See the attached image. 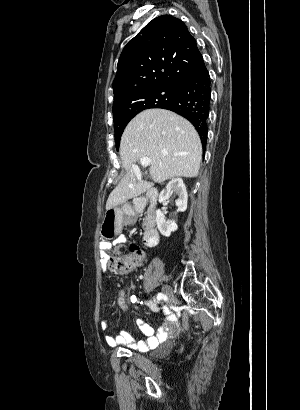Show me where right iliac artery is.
Wrapping results in <instances>:
<instances>
[{
	"instance_id": "right-iliac-artery-1",
	"label": "right iliac artery",
	"mask_w": 300,
	"mask_h": 410,
	"mask_svg": "<svg viewBox=\"0 0 300 410\" xmlns=\"http://www.w3.org/2000/svg\"><path fill=\"white\" fill-rule=\"evenodd\" d=\"M166 296L163 293H158L157 294V300H161L163 298H165Z\"/></svg>"
}]
</instances>
